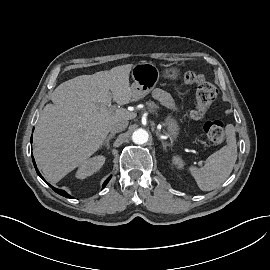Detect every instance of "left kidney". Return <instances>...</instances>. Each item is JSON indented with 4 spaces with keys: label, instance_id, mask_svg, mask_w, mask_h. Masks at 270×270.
<instances>
[{
    "label": "left kidney",
    "instance_id": "5707ae66",
    "mask_svg": "<svg viewBox=\"0 0 270 270\" xmlns=\"http://www.w3.org/2000/svg\"><path fill=\"white\" fill-rule=\"evenodd\" d=\"M172 162L177 169H182L184 167V161L178 155L173 156Z\"/></svg>",
    "mask_w": 270,
    "mask_h": 270
}]
</instances>
